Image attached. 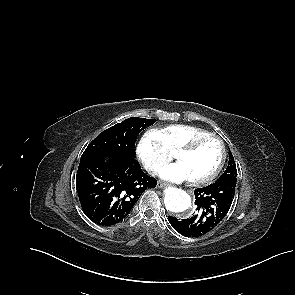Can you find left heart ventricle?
I'll return each mask as SVG.
<instances>
[{"mask_svg":"<svg viewBox=\"0 0 295 295\" xmlns=\"http://www.w3.org/2000/svg\"><path fill=\"white\" fill-rule=\"evenodd\" d=\"M221 149L218 141L207 139L190 153L176 155L189 169L192 178H202L210 174L218 165Z\"/></svg>","mask_w":295,"mask_h":295,"instance_id":"obj_1","label":"left heart ventricle"}]
</instances>
